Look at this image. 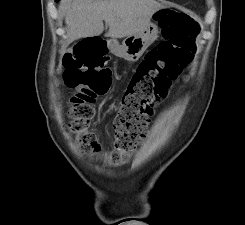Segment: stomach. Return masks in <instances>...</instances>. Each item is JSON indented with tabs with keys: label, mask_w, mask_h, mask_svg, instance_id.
<instances>
[{
	"label": "stomach",
	"mask_w": 245,
	"mask_h": 225,
	"mask_svg": "<svg viewBox=\"0 0 245 225\" xmlns=\"http://www.w3.org/2000/svg\"><path fill=\"white\" fill-rule=\"evenodd\" d=\"M161 10L163 9L156 11L152 18L156 17ZM158 33V25L150 22L139 33L126 37L122 44H119L116 39H112L109 42L110 49L117 57L129 62H135L139 60L145 50L158 38Z\"/></svg>",
	"instance_id": "1"
}]
</instances>
